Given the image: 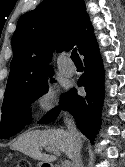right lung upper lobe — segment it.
Returning <instances> with one entry per match:
<instances>
[{
  "label": "right lung upper lobe",
  "instance_id": "cb5924a9",
  "mask_svg": "<svg viewBox=\"0 0 125 167\" xmlns=\"http://www.w3.org/2000/svg\"><path fill=\"white\" fill-rule=\"evenodd\" d=\"M84 0H44L22 15L12 37L13 59L4 99L26 93L53 75L52 51L79 52L93 37Z\"/></svg>",
  "mask_w": 125,
  "mask_h": 167
}]
</instances>
